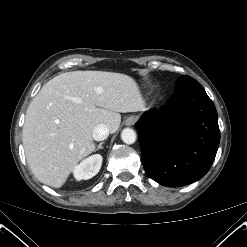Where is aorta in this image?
<instances>
[{"instance_id": "aorta-1", "label": "aorta", "mask_w": 247, "mask_h": 247, "mask_svg": "<svg viewBox=\"0 0 247 247\" xmlns=\"http://www.w3.org/2000/svg\"><path fill=\"white\" fill-rule=\"evenodd\" d=\"M121 139L126 144H133L136 141V133L131 128H125L121 132Z\"/></svg>"}]
</instances>
